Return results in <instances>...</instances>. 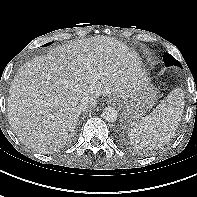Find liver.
<instances>
[{"instance_id":"6515ba94","label":"liver","mask_w":197,"mask_h":197,"mask_svg":"<svg viewBox=\"0 0 197 197\" xmlns=\"http://www.w3.org/2000/svg\"><path fill=\"white\" fill-rule=\"evenodd\" d=\"M145 82L140 58L120 40H73L19 68L7 99L9 124L21 143L49 154L74 135L82 98H125Z\"/></svg>"}]
</instances>
